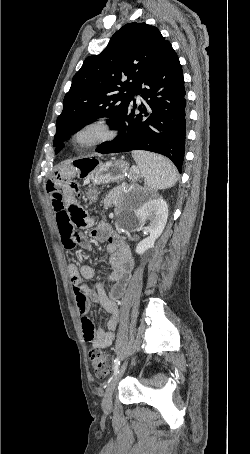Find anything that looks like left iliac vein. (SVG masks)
Masks as SVG:
<instances>
[{
    "instance_id": "obj_1",
    "label": "left iliac vein",
    "mask_w": 250,
    "mask_h": 454,
    "mask_svg": "<svg viewBox=\"0 0 250 454\" xmlns=\"http://www.w3.org/2000/svg\"><path fill=\"white\" fill-rule=\"evenodd\" d=\"M127 367V361H124V363L121 365L118 373L113 377V379L110 381L108 384L103 401H102V408L105 412H109L112 409V394L114 392V389L116 388L118 382L122 378L125 370Z\"/></svg>"
}]
</instances>
